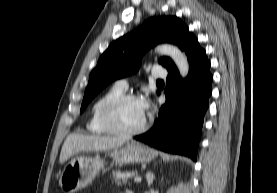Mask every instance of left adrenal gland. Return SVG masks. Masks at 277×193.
Wrapping results in <instances>:
<instances>
[{
	"label": "left adrenal gland",
	"mask_w": 277,
	"mask_h": 193,
	"mask_svg": "<svg viewBox=\"0 0 277 193\" xmlns=\"http://www.w3.org/2000/svg\"><path fill=\"white\" fill-rule=\"evenodd\" d=\"M154 179H155V175L151 171H148L146 174V180H147L148 186L152 185Z\"/></svg>",
	"instance_id": "left-adrenal-gland-1"
}]
</instances>
